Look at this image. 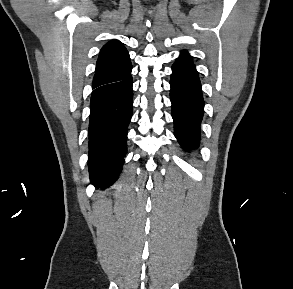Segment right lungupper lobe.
Wrapping results in <instances>:
<instances>
[{"label": "right lung upper lobe", "instance_id": "1", "mask_svg": "<svg viewBox=\"0 0 293 289\" xmlns=\"http://www.w3.org/2000/svg\"><path fill=\"white\" fill-rule=\"evenodd\" d=\"M129 53L118 40H111L99 53L92 89L125 79L131 73Z\"/></svg>", "mask_w": 293, "mask_h": 289}]
</instances>
